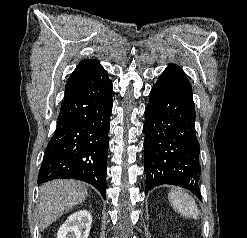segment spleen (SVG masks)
Masks as SVG:
<instances>
[{"instance_id": "spleen-1", "label": "spleen", "mask_w": 247, "mask_h": 238, "mask_svg": "<svg viewBox=\"0 0 247 238\" xmlns=\"http://www.w3.org/2000/svg\"><path fill=\"white\" fill-rule=\"evenodd\" d=\"M169 200L175 209L185 218H198V207L195 200L184 190L175 188L169 193Z\"/></svg>"}]
</instances>
